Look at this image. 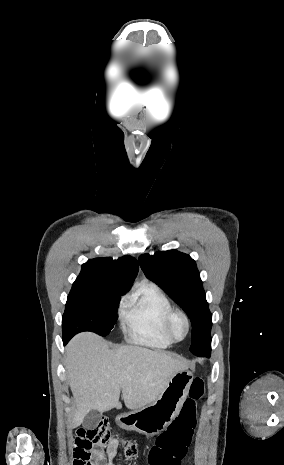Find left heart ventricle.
Returning <instances> with one entry per match:
<instances>
[{
  "label": "left heart ventricle",
  "mask_w": 284,
  "mask_h": 465,
  "mask_svg": "<svg viewBox=\"0 0 284 465\" xmlns=\"http://www.w3.org/2000/svg\"><path fill=\"white\" fill-rule=\"evenodd\" d=\"M171 331L173 336L179 340L183 339L186 336V325L183 318L180 315L174 318L171 325Z\"/></svg>",
  "instance_id": "left-heart-ventricle-1"
}]
</instances>
